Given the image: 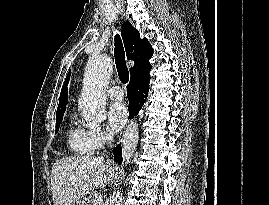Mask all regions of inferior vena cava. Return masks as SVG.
<instances>
[{"instance_id":"602c4592","label":"inferior vena cava","mask_w":269,"mask_h":205,"mask_svg":"<svg viewBox=\"0 0 269 205\" xmlns=\"http://www.w3.org/2000/svg\"><path fill=\"white\" fill-rule=\"evenodd\" d=\"M106 139H107V141H112L113 140V138L111 136H109V135L106 136ZM101 158H103V156H101Z\"/></svg>"}]
</instances>
